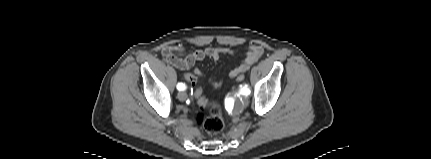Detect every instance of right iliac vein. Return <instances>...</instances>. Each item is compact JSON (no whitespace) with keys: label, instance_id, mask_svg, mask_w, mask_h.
Instances as JSON below:
<instances>
[{"label":"right iliac vein","instance_id":"right-iliac-vein-1","mask_svg":"<svg viewBox=\"0 0 431 159\" xmlns=\"http://www.w3.org/2000/svg\"><path fill=\"white\" fill-rule=\"evenodd\" d=\"M178 99L180 100V101H184L186 98H187V94L185 93V92H179L178 93Z\"/></svg>","mask_w":431,"mask_h":159}]
</instances>
